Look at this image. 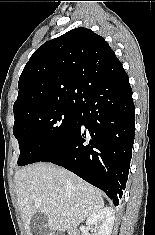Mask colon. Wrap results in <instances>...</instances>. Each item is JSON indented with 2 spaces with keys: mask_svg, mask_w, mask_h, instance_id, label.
Segmentation results:
<instances>
[{
  "mask_svg": "<svg viewBox=\"0 0 155 235\" xmlns=\"http://www.w3.org/2000/svg\"><path fill=\"white\" fill-rule=\"evenodd\" d=\"M50 235H60V234H50Z\"/></svg>",
  "mask_w": 155,
  "mask_h": 235,
  "instance_id": "obj_1",
  "label": "colon"
}]
</instances>
